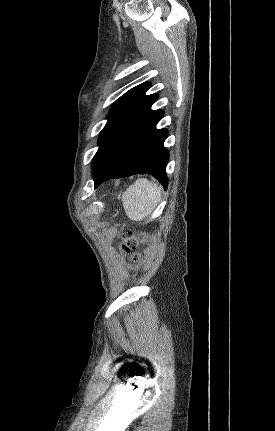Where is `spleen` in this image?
<instances>
[{
	"mask_svg": "<svg viewBox=\"0 0 275 431\" xmlns=\"http://www.w3.org/2000/svg\"><path fill=\"white\" fill-rule=\"evenodd\" d=\"M161 198V187L146 179H139L122 194L126 215L140 221L151 214Z\"/></svg>",
	"mask_w": 275,
	"mask_h": 431,
	"instance_id": "3e777b00",
	"label": "spleen"
}]
</instances>
